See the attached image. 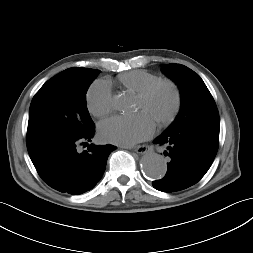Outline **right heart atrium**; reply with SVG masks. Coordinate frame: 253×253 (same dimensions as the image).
I'll use <instances>...</instances> for the list:
<instances>
[{"label":"right heart atrium","mask_w":253,"mask_h":253,"mask_svg":"<svg viewBox=\"0 0 253 253\" xmlns=\"http://www.w3.org/2000/svg\"><path fill=\"white\" fill-rule=\"evenodd\" d=\"M86 105L95 117H104L112 111V90L107 81L97 80L89 87Z\"/></svg>","instance_id":"obj_1"}]
</instances>
